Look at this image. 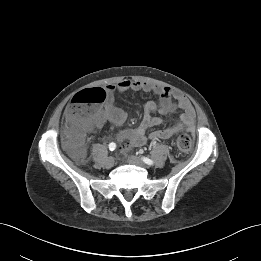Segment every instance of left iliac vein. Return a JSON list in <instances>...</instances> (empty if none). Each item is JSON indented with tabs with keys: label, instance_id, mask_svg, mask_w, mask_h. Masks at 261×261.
Here are the masks:
<instances>
[{
	"label": "left iliac vein",
	"instance_id": "left-iliac-vein-1",
	"mask_svg": "<svg viewBox=\"0 0 261 261\" xmlns=\"http://www.w3.org/2000/svg\"><path fill=\"white\" fill-rule=\"evenodd\" d=\"M127 160L132 165H136L144 169L148 168V166L140 158L136 156H129Z\"/></svg>",
	"mask_w": 261,
	"mask_h": 261
}]
</instances>
